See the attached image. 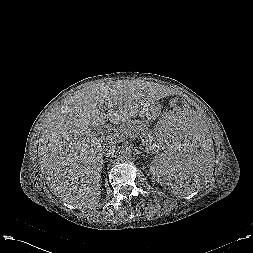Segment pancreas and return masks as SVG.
I'll list each match as a JSON object with an SVG mask.
<instances>
[{
	"mask_svg": "<svg viewBox=\"0 0 253 253\" xmlns=\"http://www.w3.org/2000/svg\"><path fill=\"white\" fill-rule=\"evenodd\" d=\"M112 134H119L120 137L109 136L111 139L115 140H123L127 136H137L140 135L143 139V144L148 146L149 143H152L153 136L148 128V124L141 120H132L128 121L125 125H121L120 127L113 130ZM134 133V134H132ZM147 140L149 142H147Z\"/></svg>",
	"mask_w": 253,
	"mask_h": 253,
	"instance_id": "pancreas-1",
	"label": "pancreas"
}]
</instances>
